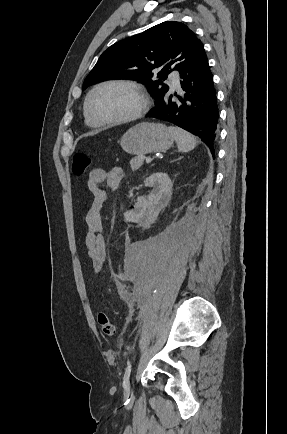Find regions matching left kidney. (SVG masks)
Masks as SVG:
<instances>
[{"label":"left kidney","mask_w":287,"mask_h":434,"mask_svg":"<svg viewBox=\"0 0 287 434\" xmlns=\"http://www.w3.org/2000/svg\"><path fill=\"white\" fill-rule=\"evenodd\" d=\"M145 185L151 187L147 197H139L135 209L124 213L125 221L138 222L146 214V210L165 203L172 193V183L165 173H154L144 181Z\"/></svg>","instance_id":"1"}]
</instances>
